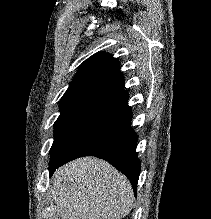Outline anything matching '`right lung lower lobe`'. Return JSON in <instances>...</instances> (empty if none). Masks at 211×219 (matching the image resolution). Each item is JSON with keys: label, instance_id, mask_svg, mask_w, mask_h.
<instances>
[{"label": "right lung lower lobe", "instance_id": "1", "mask_svg": "<svg viewBox=\"0 0 211 219\" xmlns=\"http://www.w3.org/2000/svg\"><path fill=\"white\" fill-rule=\"evenodd\" d=\"M132 112L126 104L98 124L75 144L52 168L50 175L61 165L82 156H96L111 163L131 182L136 193L140 160L136 153L137 134L131 128Z\"/></svg>", "mask_w": 211, "mask_h": 219}]
</instances>
